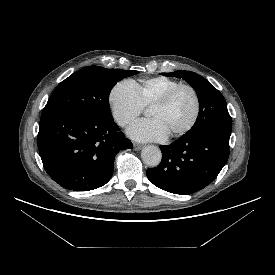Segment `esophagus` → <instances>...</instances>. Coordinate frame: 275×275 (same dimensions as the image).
I'll return each mask as SVG.
<instances>
[{
    "label": "esophagus",
    "mask_w": 275,
    "mask_h": 275,
    "mask_svg": "<svg viewBox=\"0 0 275 275\" xmlns=\"http://www.w3.org/2000/svg\"><path fill=\"white\" fill-rule=\"evenodd\" d=\"M142 148V145L140 144H134V150L139 151Z\"/></svg>",
    "instance_id": "obj_1"
}]
</instances>
